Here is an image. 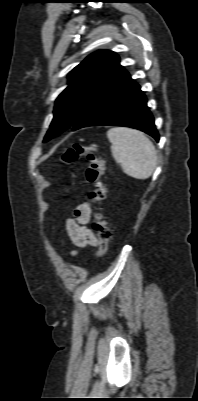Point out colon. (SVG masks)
<instances>
[{"label":"colon","instance_id":"5ec220e1","mask_svg":"<svg viewBox=\"0 0 198 401\" xmlns=\"http://www.w3.org/2000/svg\"><path fill=\"white\" fill-rule=\"evenodd\" d=\"M81 158L86 159L88 162L85 177L87 182L93 186V190L88 194L87 199L95 210L93 229L98 239L96 255L100 257L107 251L112 237V230L102 214L101 207L107 196V186L103 179L104 162L96 146H86L80 143L72 144L62 156V160L67 164H71Z\"/></svg>","mask_w":198,"mask_h":401}]
</instances>
